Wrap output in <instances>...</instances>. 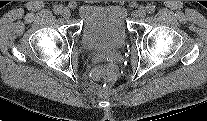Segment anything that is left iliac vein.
Masks as SVG:
<instances>
[{"label":"left iliac vein","mask_w":207,"mask_h":121,"mask_svg":"<svg viewBox=\"0 0 207 121\" xmlns=\"http://www.w3.org/2000/svg\"><path fill=\"white\" fill-rule=\"evenodd\" d=\"M146 8L145 7H140L138 12H137V15L140 17V18H144L146 16Z\"/></svg>","instance_id":"left-iliac-vein-1"}]
</instances>
